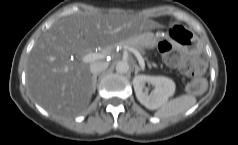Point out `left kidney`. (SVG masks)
<instances>
[{"label":"left kidney","instance_id":"left-kidney-1","mask_svg":"<svg viewBox=\"0 0 238 145\" xmlns=\"http://www.w3.org/2000/svg\"><path fill=\"white\" fill-rule=\"evenodd\" d=\"M154 89L149 94L145 84ZM135 94L139 102L150 110L161 107L175 93V83L172 79L163 76L138 75L133 79Z\"/></svg>","mask_w":238,"mask_h":145}]
</instances>
